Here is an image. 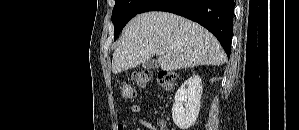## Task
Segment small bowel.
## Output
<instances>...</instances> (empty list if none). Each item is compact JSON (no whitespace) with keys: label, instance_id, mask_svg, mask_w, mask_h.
Returning <instances> with one entry per match:
<instances>
[{"label":"small bowel","instance_id":"1","mask_svg":"<svg viewBox=\"0 0 299 130\" xmlns=\"http://www.w3.org/2000/svg\"><path fill=\"white\" fill-rule=\"evenodd\" d=\"M128 110L131 113L134 114H139L142 110L141 106L139 104H132L128 107ZM139 122L145 126L146 128L152 129V123L146 119L140 118ZM126 129V125L125 124H120L118 125V130H125Z\"/></svg>","mask_w":299,"mask_h":130}]
</instances>
